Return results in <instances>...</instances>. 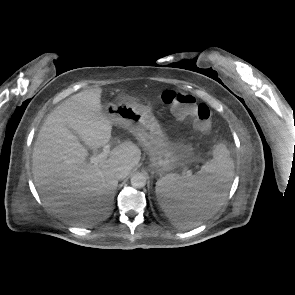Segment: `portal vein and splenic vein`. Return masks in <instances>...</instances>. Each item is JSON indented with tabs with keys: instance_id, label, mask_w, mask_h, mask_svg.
I'll return each mask as SVG.
<instances>
[{
	"instance_id": "portal-vein-and-splenic-vein-1",
	"label": "portal vein and splenic vein",
	"mask_w": 295,
	"mask_h": 295,
	"mask_svg": "<svg viewBox=\"0 0 295 295\" xmlns=\"http://www.w3.org/2000/svg\"><path fill=\"white\" fill-rule=\"evenodd\" d=\"M110 144H105L103 146V151L99 153L97 156H92L90 159V162L94 165H98L100 162L104 161L107 159L110 153ZM189 173V172H188Z\"/></svg>"
}]
</instances>
